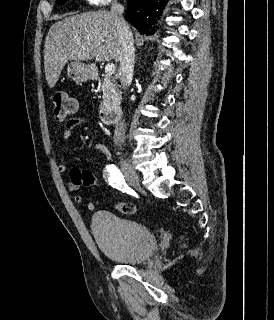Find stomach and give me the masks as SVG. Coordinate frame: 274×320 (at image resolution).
<instances>
[{"instance_id":"1","label":"stomach","mask_w":274,"mask_h":320,"mask_svg":"<svg viewBox=\"0 0 274 320\" xmlns=\"http://www.w3.org/2000/svg\"><path fill=\"white\" fill-rule=\"evenodd\" d=\"M71 68L70 74L77 82H86L93 74L92 66H85L82 62H72Z\"/></svg>"}]
</instances>
